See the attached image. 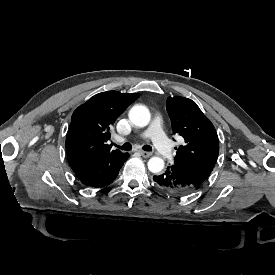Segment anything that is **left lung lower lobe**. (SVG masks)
<instances>
[{
    "label": "left lung lower lobe",
    "mask_w": 275,
    "mask_h": 275,
    "mask_svg": "<svg viewBox=\"0 0 275 275\" xmlns=\"http://www.w3.org/2000/svg\"><path fill=\"white\" fill-rule=\"evenodd\" d=\"M154 185L163 193L172 196H185L196 190L195 186L173 165L153 177Z\"/></svg>",
    "instance_id": "obj_1"
}]
</instances>
